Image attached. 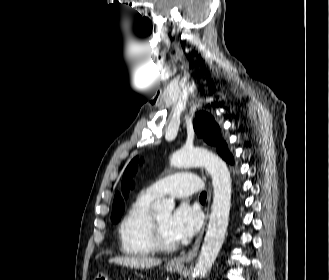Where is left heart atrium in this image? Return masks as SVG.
<instances>
[{"label": "left heart atrium", "instance_id": "1", "mask_svg": "<svg viewBox=\"0 0 329 280\" xmlns=\"http://www.w3.org/2000/svg\"><path fill=\"white\" fill-rule=\"evenodd\" d=\"M202 214L198 208L181 203L170 217L168 232L174 241H184L198 232Z\"/></svg>", "mask_w": 329, "mask_h": 280}]
</instances>
